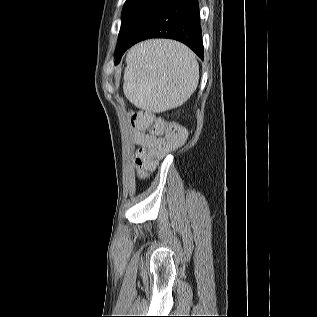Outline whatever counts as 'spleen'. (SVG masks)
<instances>
[{"instance_id":"1","label":"spleen","mask_w":317,"mask_h":317,"mask_svg":"<svg viewBox=\"0 0 317 317\" xmlns=\"http://www.w3.org/2000/svg\"><path fill=\"white\" fill-rule=\"evenodd\" d=\"M123 91L136 107L163 112L182 105L198 85L199 65L185 45L149 40L127 54Z\"/></svg>"}]
</instances>
